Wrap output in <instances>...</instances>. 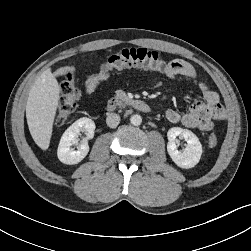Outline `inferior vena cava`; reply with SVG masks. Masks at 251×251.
<instances>
[{"mask_svg":"<svg viewBox=\"0 0 251 251\" xmlns=\"http://www.w3.org/2000/svg\"><path fill=\"white\" fill-rule=\"evenodd\" d=\"M106 123L109 127L115 128L120 123V116L116 113H109L106 118Z\"/></svg>","mask_w":251,"mask_h":251,"instance_id":"obj_1","label":"inferior vena cava"}]
</instances>
